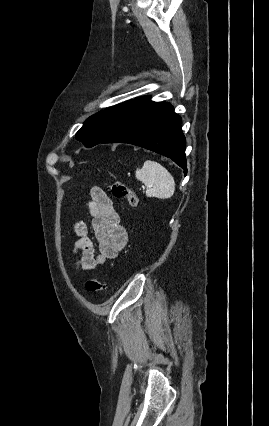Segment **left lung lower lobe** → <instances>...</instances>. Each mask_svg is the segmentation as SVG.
<instances>
[{
	"instance_id": "obj_1",
	"label": "left lung lower lobe",
	"mask_w": 269,
	"mask_h": 426,
	"mask_svg": "<svg viewBox=\"0 0 269 426\" xmlns=\"http://www.w3.org/2000/svg\"><path fill=\"white\" fill-rule=\"evenodd\" d=\"M181 117L167 102L148 96L130 100L110 133L100 143H129L171 158L187 174L186 139Z\"/></svg>"
}]
</instances>
